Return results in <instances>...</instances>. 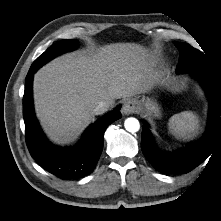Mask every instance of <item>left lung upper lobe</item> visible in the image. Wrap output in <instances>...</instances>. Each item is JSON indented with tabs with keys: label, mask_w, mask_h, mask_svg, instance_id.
<instances>
[{
	"label": "left lung upper lobe",
	"mask_w": 221,
	"mask_h": 221,
	"mask_svg": "<svg viewBox=\"0 0 221 221\" xmlns=\"http://www.w3.org/2000/svg\"><path fill=\"white\" fill-rule=\"evenodd\" d=\"M175 46L180 52L179 64L176 68L177 73L198 72L209 74L217 81V83H219L210 63L201 51L193 48L187 43L182 42H176Z\"/></svg>",
	"instance_id": "obj_1"
}]
</instances>
